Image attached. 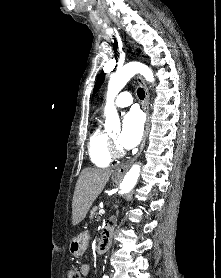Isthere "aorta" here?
<instances>
[{
    "label": "aorta",
    "mask_w": 221,
    "mask_h": 278,
    "mask_svg": "<svg viewBox=\"0 0 221 278\" xmlns=\"http://www.w3.org/2000/svg\"><path fill=\"white\" fill-rule=\"evenodd\" d=\"M137 73L143 75L148 82L154 81V74L152 70L148 66L139 62L127 63L110 77L105 105L106 122L118 118L117 109L114 105V99L127 82ZM139 174L140 165H133L122 181L120 190L122 195L127 194L132 190L139 178Z\"/></svg>",
    "instance_id": "762f6f07"
}]
</instances>
